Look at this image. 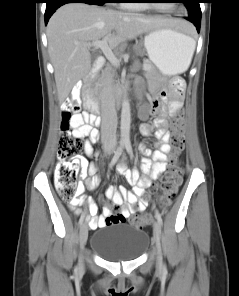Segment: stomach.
I'll list each match as a JSON object with an SVG mask.
<instances>
[{
  "instance_id": "1",
  "label": "stomach",
  "mask_w": 239,
  "mask_h": 296,
  "mask_svg": "<svg viewBox=\"0 0 239 296\" xmlns=\"http://www.w3.org/2000/svg\"><path fill=\"white\" fill-rule=\"evenodd\" d=\"M192 38L169 27L150 31L144 47L150 61L166 76L186 70Z\"/></svg>"
}]
</instances>
